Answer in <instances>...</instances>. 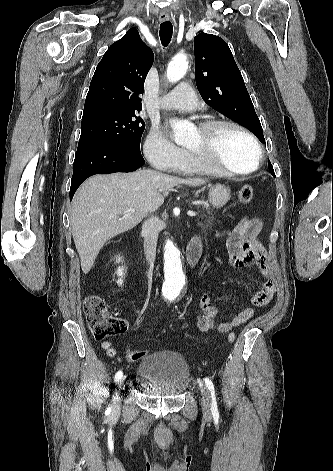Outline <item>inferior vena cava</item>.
Listing matches in <instances>:
<instances>
[{
  "label": "inferior vena cava",
  "mask_w": 333,
  "mask_h": 471,
  "mask_svg": "<svg viewBox=\"0 0 333 471\" xmlns=\"http://www.w3.org/2000/svg\"><path fill=\"white\" fill-rule=\"evenodd\" d=\"M161 230V221L152 216L142 225V235L144 237V252L150 266L154 265L156 259V247L158 235Z\"/></svg>",
  "instance_id": "1"
}]
</instances>
